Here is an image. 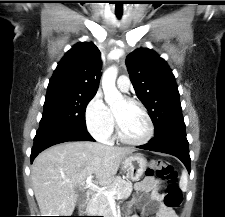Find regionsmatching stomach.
<instances>
[{
	"label": "stomach",
	"instance_id": "obj_1",
	"mask_svg": "<svg viewBox=\"0 0 225 217\" xmlns=\"http://www.w3.org/2000/svg\"><path fill=\"white\" fill-rule=\"evenodd\" d=\"M121 165L126 176L137 181L146 170L147 160L142 154H131L123 159Z\"/></svg>",
	"mask_w": 225,
	"mask_h": 217
}]
</instances>
